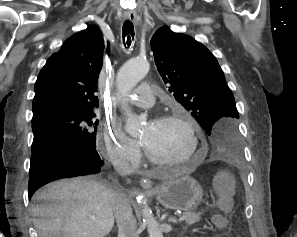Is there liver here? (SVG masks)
Instances as JSON below:
<instances>
[{
    "instance_id": "obj_1",
    "label": "liver",
    "mask_w": 297,
    "mask_h": 237,
    "mask_svg": "<svg viewBox=\"0 0 297 237\" xmlns=\"http://www.w3.org/2000/svg\"><path fill=\"white\" fill-rule=\"evenodd\" d=\"M111 188L86 177L48 184L31 207L38 237H105L113 228ZM94 217L95 220H92Z\"/></svg>"
}]
</instances>
